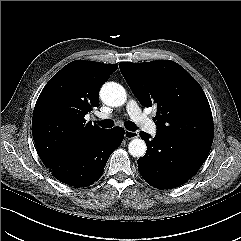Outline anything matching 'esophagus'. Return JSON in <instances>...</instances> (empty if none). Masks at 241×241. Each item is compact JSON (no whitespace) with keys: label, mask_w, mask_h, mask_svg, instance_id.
Returning a JSON list of instances; mask_svg holds the SVG:
<instances>
[{"label":"esophagus","mask_w":241,"mask_h":241,"mask_svg":"<svg viewBox=\"0 0 241 241\" xmlns=\"http://www.w3.org/2000/svg\"><path fill=\"white\" fill-rule=\"evenodd\" d=\"M138 136L139 134L136 131H129V130L125 131V138L127 139H134V138H137Z\"/></svg>","instance_id":"1"}]
</instances>
